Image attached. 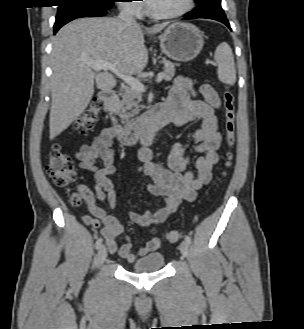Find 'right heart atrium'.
Instances as JSON below:
<instances>
[{"label":"right heart atrium","mask_w":304,"mask_h":329,"mask_svg":"<svg viewBox=\"0 0 304 329\" xmlns=\"http://www.w3.org/2000/svg\"><path fill=\"white\" fill-rule=\"evenodd\" d=\"M121 9L134 16H141L144 10V4L142 0H122ZM136 2V3H135Z\"/></svg>","instance_id":"right-heart-atrium-1"}]
</instances>
